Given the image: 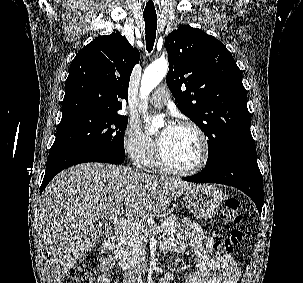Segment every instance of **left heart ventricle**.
Listing matches in <instances>:
<instances>
[{
  "instance_id": "1",
  "label": "left heart ventricle",
  "mask_w": 303,
  "mask_h": 283,
  "mask_svg": "<svg viewBox=\"0 0 303 283\" xmlns=\"http://www.w3.org/2000/svg\"><path fill=\"white\" fill-rule=\"evenodd\" d=\"M160 148L166 162L178 169H189L200 159L199 140L189 128L176 126L171 135L160 144Z\"/></svg>"
}]
</instances>
